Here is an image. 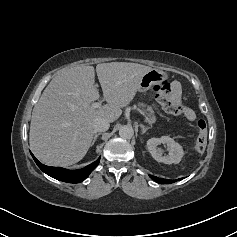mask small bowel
<instances>
[{
  "label": "small bowel",
  "mask_w": 237,
  "mask_h": 237,
  "mask_svg": "<svg viewBox=\"0 0 237 237\" xmlns=\"http://www.w3.org/2000/svg\"><path fill=\"white\" fill-rule=\"evenodd\" d=\"M171 90H172V96L179 100L180 99V91H179V87L177 84H173L171 86ZM184 116L186 117V119L190 120V121H193L195 119V112L189 108V107H186L184 109Z\"/></svg>",
  "instance_id": "1"
}]
</instances>
